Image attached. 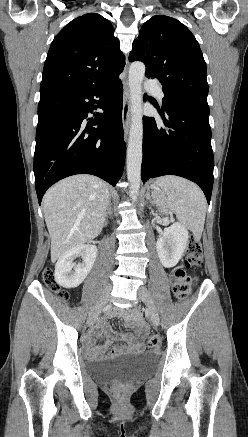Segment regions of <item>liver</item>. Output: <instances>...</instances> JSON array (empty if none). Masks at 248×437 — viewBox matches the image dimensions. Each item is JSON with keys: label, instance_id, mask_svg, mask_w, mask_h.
<instances>
[{"label": "liver", "instance_id": "liver-1", "mask_svg": "<svg viewBox=\"0 0 248 437\" xmlns=\"http://www.w3.org/2000/svg\"><path fill=\"white\" fill-rule=\"evenodd\" d=\"M109 199L108 185L86 174L63 179L46 192L43 210L51 238L52 262L101 233Z\"/></svg>", "mask_w": 248, "mask_h": 437}]
</instances>
